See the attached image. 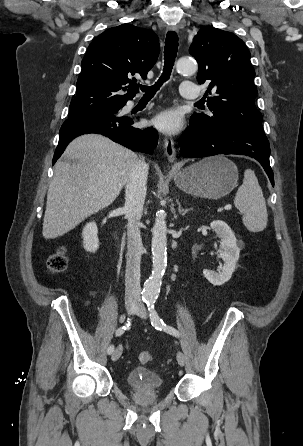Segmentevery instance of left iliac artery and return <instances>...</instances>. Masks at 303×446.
I'll list each match as a JSON object with an SVG mask.
<instances>
[{"label":"left iliac artery","mask_w":303,"mask_h":446,"mask_svg":"<svg viewBox=\"0 0 303 446\" xmlns=\"http://www.w3.org/2000/svg\"><path fill=\"white\" fill-rule=\"evenodd\" d=\"M155 300L150 299L147 301L148 310L150 312V320L152 326L157 330H163L175 337H178L180 333L173 327L166 325L163 320L159 317L157 311L155 310Z\"/></svg>","instance_id":"left-iliac-artery-1"}]
</instances>
